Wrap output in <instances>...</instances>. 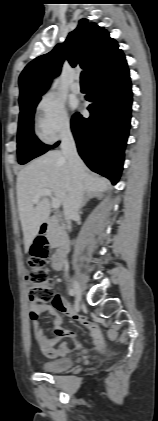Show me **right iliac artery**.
Masks as SVG:
<instances>
[{"label":"right iliac artery","mask_w":158,"mask_h":421,"mask_svg":"<svg viewBox=\"0 0 158 421\" xmlns=\"http://www.w3.org/2000/svg\"><path fill=\"white\" fill-rule=\"evenodd\" d=\"M68 293H69V295H70V296H74V295H75L74 290H73V289H71V288L69 289Z\"/></svg>","instance_id":"82829eb1"}]
</instances>
